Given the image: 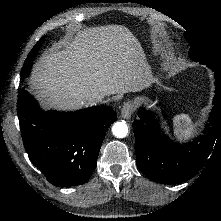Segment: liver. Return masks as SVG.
<instances>
[{"instance_id": "obj_1", "label": "liver", "mask_w": 221, "mask_h": 221, "mask_svg": "<svg viewBox=\"0 0 221 221\" xmlns=\"http://www.w3.org/2000/svg\"><path fill=\"white\" fill-rule=\"evenodd\" d=\"M151 81L138 39L122 25H107L78 31L45 52L30 86L46 107L72 110L89 105L92 94H124Z\"/></svg>"}]
</instances>
